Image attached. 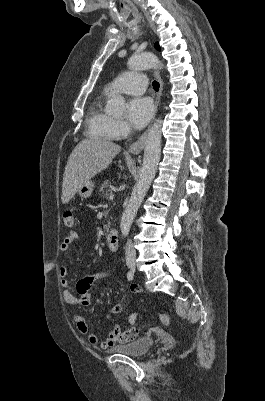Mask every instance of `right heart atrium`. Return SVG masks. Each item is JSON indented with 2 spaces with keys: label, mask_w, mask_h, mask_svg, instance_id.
I'll list each match as a JSON object with an SVG mask.
<instances>
[{
  "label": "right heart atrium",
  "mask_w": 265,
  "mask_h": 401,
  "mask_svg": "<svg viewBox=\"0 0 265 401\" xmlns=\"http://www.w3.org/2000/svg\"><path fill=\"white\" fill-rule=\"evenodd\" d=\"M113 130L117 137H125L129 133L128 125L123 121H115L113 123Z\"/></svg>",
  "instance_id": "d8ad5b80"
}]
</instances>
